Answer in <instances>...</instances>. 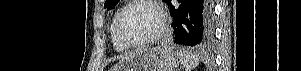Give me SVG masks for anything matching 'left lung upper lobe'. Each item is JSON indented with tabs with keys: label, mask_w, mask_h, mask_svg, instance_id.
Returning <instances> with one entry per match:
<instances>
[{
	"label": "left lung upper lobe",
	"mask_w": 301,
	"mask_h": 71,
	"mask_svg": "<svg viewBox=\"0 0 301 71\" xmlns=\"http://www.w3.org/2000/svg\"><path fill=\"white\" fill-rule=\"evenodd\" d=\"M164 2H167L168 0H163ZM119 2V0H106L104 7L107 9H112L116 6V4Z\"/></svg>",
	"instance_id": "5c2ea615"
}]
</instances>
